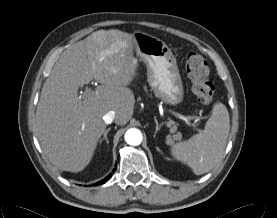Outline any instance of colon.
I'll use <instances>...</instances> for the list:
<instances>
[{
    "label": "colon",
    "instance_id": "1",
    "mask_svg": "<svg viewBox=\"0 0 277 218\" xmlns=\"http://www.w3.org/2000/svg\"><path fill=\"white\" fill-rule=\"evenodd\" d=\"M185 68L194 95L200 103L209 104L213 99L215 87L209 79L207 61L199 53L190 52L186 58Z\"/></svg>",
    "mask_w": 277,
    "mask_h": 218
}]
</instances>
